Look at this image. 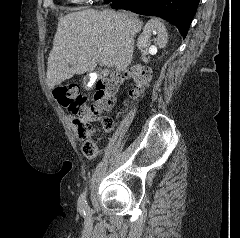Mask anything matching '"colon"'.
Here are the masks:
<instances>
[{
  "mask_svg": "<svg viewBox=\"0 0 240 238\" xmlns=\"http://www.w3.org/2000/svg\"><path fill=\"white\" fill-rule=\"evenodd\" d=\"M132 79L133 86L129 91V97H137L145 90L150 81V71L143 66H133L127 72ZM120 84L119 76H111L96 85V93L91 104L81 94L80 87L76 84L60 85L53 89V96L73 116V128L80 141H82V152L87 158L95 157L97 147L93 141L94 127L86 121L89 115L100 116L102 127L109 131L113 127V120L101 115L103 111L110 110L115 105V95Z\"/></svg>",
  "mask_w": 240,
  "mask_h": 238,
  "instance_id": "colon-1",
  "label": "colon"
}]
</instances>
